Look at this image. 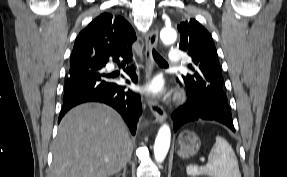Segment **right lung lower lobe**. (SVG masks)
Returning a JSON list of instances; mask_svg holds the SVG:
<instances>
[{
  "mask_svg": "<svg viewBox=\"0 0 287 177\" xmlns=\"http://www.w3.org/2000/svg\"><path fill=\"white\" fill-rule=\"evenodd\" d=\"M131 55L132 51L127 53L121 48L102 53L95 52L90 59L70 66L58 122L76 105L86 102H101L116 109L134 135L138 118L142 113L140 97L131 90L127 91L125 86L112 82L111 75L103 72L108 61L113 60L119 63V58H123V64H125ZM125 71L131 80L137 83L134 66L126 68ZM127 82L129 83L128 80Z\"/></svg>",
  "mask_w": 287,
  "mask_h": 177,
  "instance_id": "obj_1",
  "label": "right lung lower lobe"
}]
</instances>
